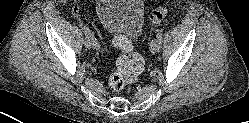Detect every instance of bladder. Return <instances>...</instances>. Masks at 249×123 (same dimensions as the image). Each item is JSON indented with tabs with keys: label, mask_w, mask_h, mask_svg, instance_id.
<instances>
[{
	"label": "bladder",
	"mask_w": 249,
	"mask_h": 123,
	"mask_svg": "<svg viewBox=\"0 0 249 123\" xmlns=\"http://www.w3.org/2000/svg\"><path fill=\"white\" fill-rule=\"evenodd\" d=\"M98 20L109 35H124L136 40L145 25L142 0H96Z\"/></svg>",
	"instance_id": "1"
}]
</instances>
